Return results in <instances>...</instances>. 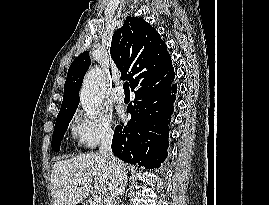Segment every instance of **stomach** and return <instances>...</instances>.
<instances>
[{
    "label": "stomach",
    "mask_w": 269,
    "mask_h": 205,
    "mask_svg": "<svg viewBox=\"0 0 269 205\" xmlns=\"http://www.w3.org/2000/svg\"><path fill=\"white\" fill-rule=\"evenodd\" d=\"M79 205H85L84 203H78Z\"/></svg>",
    "instance_id": "0dacf381"
}]
</instances>
